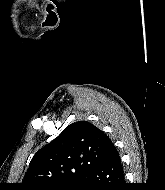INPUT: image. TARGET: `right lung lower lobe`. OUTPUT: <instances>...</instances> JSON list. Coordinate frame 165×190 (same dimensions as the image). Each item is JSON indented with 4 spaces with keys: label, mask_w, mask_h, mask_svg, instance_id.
I'll return each mask as SVG.
<instances>
[{
    "label": "right lung lower lobe",
    "mask_w": 165,
    "mask_h": 190,
    "mask_svg": "<svg viewBox=\"0 0 165 190\" xmlns=\"http://www.w3.org/2000/svg\"><path fill=\"white\" fill-rule=\"evenodd\" d=\"M124 171L119 154L86 171L79 190H125Z\"/></svg>",
    "instance_id": "right-lung-lower-lobe-1"
}]
</instances>
